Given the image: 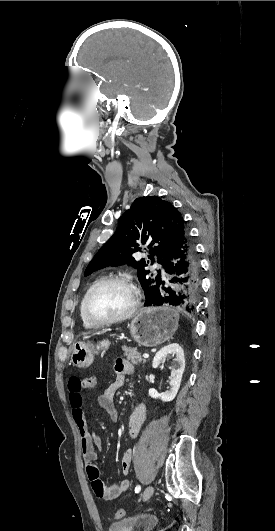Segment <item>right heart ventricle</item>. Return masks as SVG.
I'll use <instances>...</instances> for the list:
<instances>
[{
	"mask_svg": "<svg viewBox=\"0 0 275 531\" xmlns=\"http://www.w3.org/2000/svg\"><path fill=\"white\" fill-rule=\"evenodd\" d=\"M83 300V299H82ZM81 304H82V301H81ZM81 304H80V313H81ZM81 318H82V321H83V324L85 327L87 328H94V326H92L91 324H89L88 322H86L83 317H82V314H81Z\"/></svg>",
	"mask_w": 275,
	"mask_h": 531,
	"instance_id": "1",
	"label": "right heart ventricle"
}]
</instances>
